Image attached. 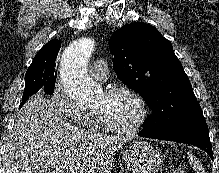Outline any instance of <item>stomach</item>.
Segmentation results:
<instances>
[{
    "label": "stomach",
    "mask_w": 219,
    "mask_h": 173,
    "mask_svg": "<svg viewBox=\"0 0 219 173\" xmlns=\"http://www.w3.org/2000/svg\"><path fill=\"white\" fill-rule=\"evenodd\" d=\"M123 160L132 173H156L163 165L164 156L150 143L135 141L123 151Z\"/></svg>",
    "instance_id": "1"
}]
</instances>
